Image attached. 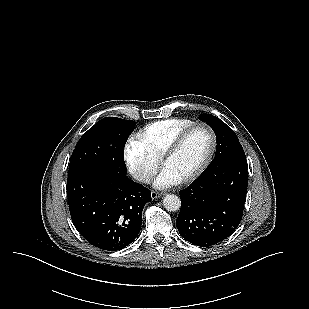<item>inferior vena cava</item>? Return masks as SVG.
Here are the masks:
<instances>
[{"mask_svg": "<svg viewBox=\"0 0 309 309\" xmlns=\"http://www.w3.org/2000/svg\"><path fill=\"white\" fill-rule=\"evenodd\" d=\"M134 178L140 182L148 183L151 180V176L142 172L134 174Z\"/></svg>", "mask_w": 309, "mask_h": 309, "instance_id": "obj_1", "label": "inferior vena cava"}]
</instances>
